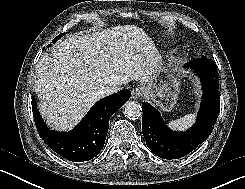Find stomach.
Listing matches in <instances>:
<instances>
[{
	"mask_svg": "<svg viewBox=\"0 0 245 189\" xmlns=\"http://www.w3.org/2000/svg\"><path fill=\"white\" fill-rule=\"evenodd\" d=\"M180 79L171 63L160 62L151 82L143 85L146 98L152 100L162 111H171L180 92Z\"/></svg>",
	"mask_w": 245,
	"mask_h": 189,
	"instance_id": "1",
	"label": "stomach"
}]
</instances>
